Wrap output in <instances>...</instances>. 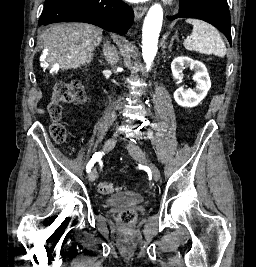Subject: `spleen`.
Here are the masks:
<instances>
[{"mask_svg":"<svg viewBox=\"0 0 256 267\" xmlns=\"http://www.w3.org/2000/svg\"><path fill=\"white\" fill-rule=\"evenodd\" d=\"M185 22L193 26L191 36L183 42L186 50L199 52V54H213L218 58L226 56L227 48L214 26L202 20H185Z\"/></svg>","mask_w":256,"mask_h":267,"instance_id":"obj_1","label":"spleen"}]
</instances>
